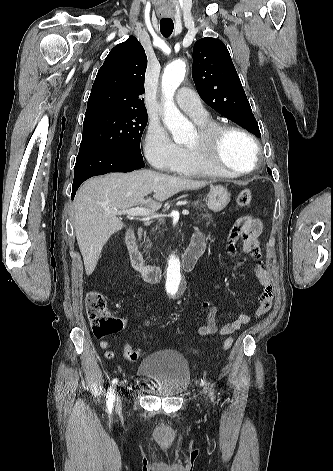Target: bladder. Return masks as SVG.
Here are the masks:
<instances>
[{
	"instance_id": "31cf9c89",
	"label": "bladder",
	"mask_w": 333,
	"mask_h": 471,
	"mask_svg": "<svg viewBox=\"0 0 333 471\" xmlns=\"http://www.w3.org/2000/svg\"><path fill=\"white\" fill-rule=\"evenodd\" d=\"M137 376L154 382L155 393L161 397L183 394L191 382L187 359L175 350H158L146 356L138 365Z\"/></svg>"
}]
</instances>
